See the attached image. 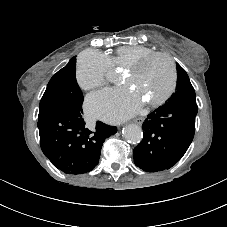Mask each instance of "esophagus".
Returning a JSON list of instances; mask_svg holds the SVG:
<instances>
[{"label": "esophagus", "mask_w": 227, "mask_h": 227, "mask_svg": "<svg viewBox=\"0 0 227 227\" xmlns=\"http://www.w3.org/2000/svg\"><path fill=\"white\" fill-rule=\"evenodd\" d=\"M135 123L141 125L143 123V118H137L135 120L126 121L122 124V127L126 128L129 125H134Z\"/></svg>", "instance_id": "34e87169"}]
</instances>
